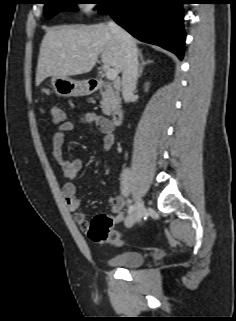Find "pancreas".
I'll return each mask as SVG.
<instances>
[{"label":"pancreas","instance_id":"pancreas-1","mask_svg":"<svg viewBox=\"0 0 236 321\" xmlns=\"http://www.w3.org/2000/svg\"><path fill=\"white\" fill-rule=\"evenodd\" d=\"M100 94L102 97V111L105 115L110 114L111 111H114L119 107V92L117 90L112 89L109 84L105 85V91H101Z\"/></svg>","mask_w":236,"mask_h":321}]
</instances>
